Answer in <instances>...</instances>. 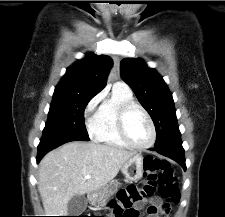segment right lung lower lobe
<instances>
[{
	"label": "right lung lower lobe",
	"mask_w": 225,
	"mask_h": 217,
	"mask_svg": "<svg viewBox=\"0 0 225 217\" xmlns=\"http://www.w3.org/2000/svg\"><path fill=\"white\" fill-rule=\"evenodd\" d=\"M75 138L48 137L42 138L38 146L37 162L50 150L70 141H76Z\"/></svg>",
	"instance_id": "1"
}]
</instances>
